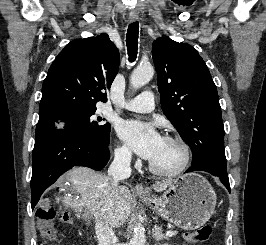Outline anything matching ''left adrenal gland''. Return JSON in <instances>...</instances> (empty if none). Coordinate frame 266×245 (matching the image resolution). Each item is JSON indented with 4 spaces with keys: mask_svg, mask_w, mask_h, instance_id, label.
<instances>
[{
    "mask_svg": "<svg viewBox=\"0 0 266 245\" xmlns=\"http://www.w3.org/2000/svg\"><path fill=\"white\" fill-rule=\"evenodd\" d=\"M152 233V237L155 241H168V237L163 235L161 227H154Z\"/></svg>",
    "mask_w": 266,
    "mask_h": 245,
    "instance_id": "a2214340",
    "label": "left adrenal gland"
}]
</instances>
